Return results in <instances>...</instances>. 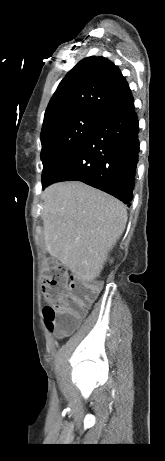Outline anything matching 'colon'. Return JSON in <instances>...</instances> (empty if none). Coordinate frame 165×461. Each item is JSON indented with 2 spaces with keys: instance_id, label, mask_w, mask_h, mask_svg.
I'll use <instances>...</instances> for the list:
<instances>
[{
  "instance_id": "colon-1",
  "label": "colon",
  "mask_w": 165,
  "mask_h": 461,
  "mask_svg": "<svg viewBox=\"0 0 165 461\" xmlns=\"http://www.w3.org/2000/svg\"><path fill=\"white\" fill-rule=\"evenodd\" d=\"M43 289L48 301L43 311L46 325L51 333L63 338L78 328L99 285L78 281L68 275L64 265L48 259L43 267Z\"/></svg>"
}]
</instances>
